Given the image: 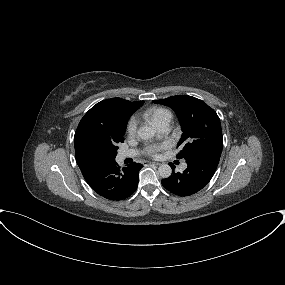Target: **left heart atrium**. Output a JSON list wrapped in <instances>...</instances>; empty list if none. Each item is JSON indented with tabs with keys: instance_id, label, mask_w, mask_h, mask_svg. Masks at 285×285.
I'll list each match as a JSON object with an SVG mask.
<instances>
[{
	"instance_id": "left-heart-atrium-1",
	"label": "left heart atrium",
	"mask_w": 285,
	"mask_h": 285,
	"mask_svg": "<svg viewBox=\"0 0 285 285\" xmlns=\"http://www.w3.org/2000/svg\"><path fill=\"white\" fill-rule=\"evenodd\" d=\"M164 145H153V146H150L149 149H148V155L150 156H157L158 155V152L161 151L162 149H164Z\"/></svg>"
}]
</instances>
